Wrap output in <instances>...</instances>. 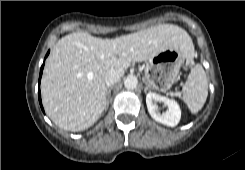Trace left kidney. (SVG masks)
<instances>
[{
  "instance_id": "left-kidney-1",
  "label": "left kidney",
  "mask_w": 245,
  "mask_h": 170,
  "mask_svg": "<svg viewBox=\"0 0 245 170\" xmlns=\"http://www.w3.org/2000/svg\"><path fill=\"white\" fill-rule=\"evenodd\" d=\"M158 102H163L168 107V110L161 113L157 106ZM146 105L149 114L155 121L170 127H174L179 123L181 118V109L175 100L149 92L146 95Z\"/></svg>"
}]
</instances>
